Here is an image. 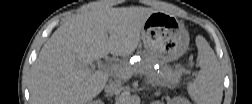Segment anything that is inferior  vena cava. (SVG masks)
<instances>
[{
	"label": "inferior vena cava",
	"mask_w": 252,
	"mask_h": 104,
	"mask_svg": "<svg viewBox=\"0 0 252 104\" xmlns=\"http://www.w3.org/2000/svg\"><path fill=\"white\" fill-rule=\"evenodd\" d=\"M123 87L116 82L110 81L104 88L105 92L109 95H116L122 91Z\"/></svg>",
	"instance_id": "obj_1"
}]
</instances>
